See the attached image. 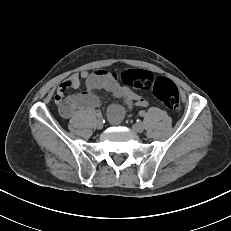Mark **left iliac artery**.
I'll list each match as a JSON object with an SVG mask.
<instances>
[{
    "mask_svg": "<svg viewBox=\"0 0 231 231\" xmlns=\"http://www.w3.org/2000/svg\"><path fill=\"white\" fill-rule=\"evenodd\" d=\"M140 116L144 117L146 115L145 111H140Z\"/></svg>",
    "mask_w": 231,
    "mask_h": 231,
    "instance_id": "left-iliac-artery-1",
    "label": "left iliac artery"
}]
</instances>
